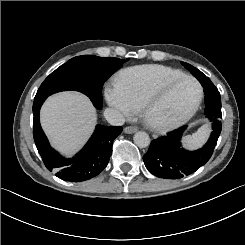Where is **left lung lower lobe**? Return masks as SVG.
Instances as JSON below:
<instances>
[{
    "mask_svg": "<svg viewBox=\"0 0 245 245\" xmlns=\"http://www.w3.org/2000/svg\"><path fill=\"white\" fill-rule=\"evenodd\" d=\"M204 87L205 115L213 122V131L207 143L196 151L181 147V137L187 126H182L166 136L153 140L143 156L146 168L163 179H181L203 166L212 156L221 132V98L218 89L208 77L198 79Z\"/></svg>",
    "mask_w": 245,
    "mask_h": 245,
    "instance_id": "1",
    "label": "left lung lower lobe"
}]
</instances>
